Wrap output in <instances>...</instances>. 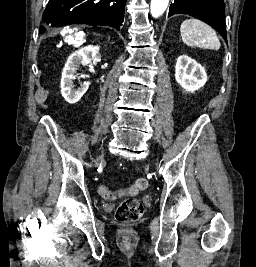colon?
<instances>
[{
  "mask_svg": "<svg viewBox=\"0 0 256 267\" xmlns=\"http://www.w3.org/2000/svg\"><path fill=\"white\" fill-rule=\"evenodd\" d=\"M148 186H149L148 181L145 178H138L130 189L122 188V191H119V196L124 195V193H127V195L136 196L140 192L145 191L148 188ZM98 192L103 198L114 197L112 192L104 185L99 186ZM127 198L128 199L123 200L119 204L116 211V218L120 222H126V223L136 222L143 214L144 210L143 204L135 197H127ZM103 200L109 201L108 199H103ZM125 227H129V224H125Z\"/></svg>",
  "mask_w": 256,
  "mask_h": 267,
  "instance_id": "1",
  "label": "colon"
}]
</instances>
